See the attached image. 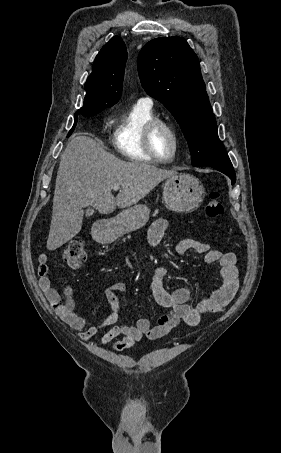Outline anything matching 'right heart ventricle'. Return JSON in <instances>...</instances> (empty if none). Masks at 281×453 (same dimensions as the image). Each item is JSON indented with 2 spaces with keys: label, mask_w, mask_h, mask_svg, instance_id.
Listing matches in <instances>:
<instances>
[{
  "label": "right heart ventricle",
  "mask_w": 281,
  "mask_h": 453,
  "mask_svg": "<svg viewBox=\"0 0 281 453\" xmlns=\"http://www.w3.org/2000/svg\"><path fill=\"white\" fill-rule=\"evenodd\" d=\"M157 119L150 103L140 99L125 108L118 117L113 145L116 152L124 159L153 162L144 143L147 125Z\"/></svg>",
  "instance_id": "1"
}]
</instances>
